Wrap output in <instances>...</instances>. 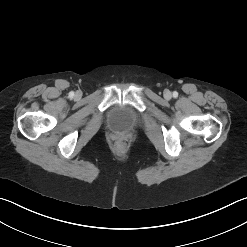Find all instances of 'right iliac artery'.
<instances>
[{"mask_svg":"<svg viewBox=\"0 0 247 247\" xmlns=\"http://www.w3.org/2000/svg\"><path fill=\"white\" fill-rule=\"evenodd\" d=\"M69 96H70V97H73V96H74V92L71 91V92L69 93Z\"/></svg>","mask_w":247,"mask_h":247,"instance_id":"obj_1","label":"right iliac artery"}]
</instances>
